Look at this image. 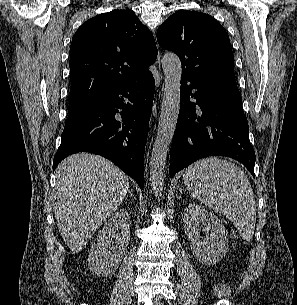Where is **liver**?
Returning a JSON list of instances; mask_svg holds the SVG:
<instances>
[{
  "instance_id": "1",
  "label": "liver",
  "mask_w": 297,
  "mask_h": 305,
  "mask_svg": "<svg viewBox=\"0 0 297 305\" xmlns=\"http://www.w3.org/2000/svg\"><path fill=\"white\" fill-rule=\"evenodd\" d=\"M128 190V176L101 156L77 153L58 165L53 211L60 235L73 253L86 246Z\"/></svg>"
}]
</instances>
